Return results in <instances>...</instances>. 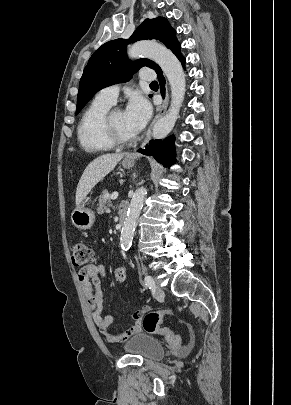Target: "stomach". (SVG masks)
<instances>
[{
    "label": "stomach",
    "instance_id": "obj_1",
    "mask_svg": "<svg viewBox=\"0 0 291 405\" xmlns=\"http://www.w3.org/2000/svg\"><path fill=\"white\" fill-rule=\"evenodd\" d=\"M135 161L132 158H125L122 166L130 169L134 166ZM87 201H83L71 214V220L74 226L81 230L90 229L95 221V213L86 206Z\"/></svg>",
    "mask_w": 291,
    "mask_h": 405
}]
</instances>
